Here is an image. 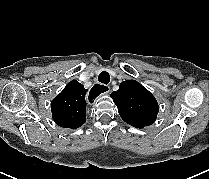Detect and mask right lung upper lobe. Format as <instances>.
<instances>
[{
    "label": "right lung upper lobe",
    "mask_w": 209,
    "mask_h": 179,
    "mask_svg": "<svg viewBox=\"0 0 209 179\" xmlns=\"http://www.w3.org/2000/svg\"><path fill=\"white\" fill-rule=\"evenodd\" d=\"M86 93L81 83L70 81L51 102L54 122L64 128L82 126L86 122Z\"/></svg>",
    "instance_id": "1"
}]
</instances>
